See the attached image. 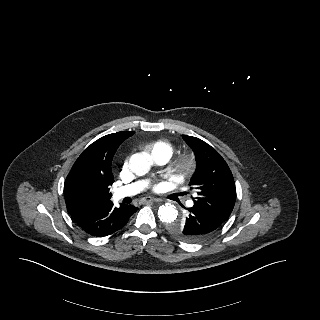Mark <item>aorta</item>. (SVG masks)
I'll return each instance as SVG.
<instances>
[{"instance_id": "obj_1", "label": "aorta", "mask_w": 320, "mask_h": 320, "mask_svg": "<svg viewBox=\"0 0 320 320\" xmlns=\"http://www.w3.org/2000/svg\"><path fill=\"white\" fill-rule=\"evenodd\" d=\"M131 171L137 176H143L150 171V162L141 153L131 156L129 161ZM178 211L174 205L165 204L159 207L158 217L163 223H172L176 220Z\"/></svg>"}]
</instances>
